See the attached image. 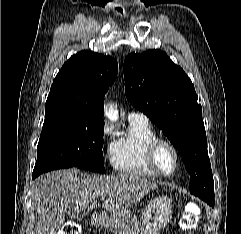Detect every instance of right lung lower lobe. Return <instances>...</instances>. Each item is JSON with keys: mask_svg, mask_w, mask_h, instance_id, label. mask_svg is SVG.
Wrapping results in <instances>:
<instances>
[{"mask_svg": "<svg viewBox=\"0 0 241 234\" xmlns=\"http://www.w3.org/2000/svg\"><path fill=\"white\" fill-rule=\"evenodd\" d=\"M62 168H69V167H62ZM57 169H60V168H57ZM41 173L43 172H33V175H32V178H36L37 176H39Z\"/></svg>", "mask_w": 241, "mask_h": 234, "instance_id": "98d812e1", "label": "right lung lower lobe"}]
</instances>
